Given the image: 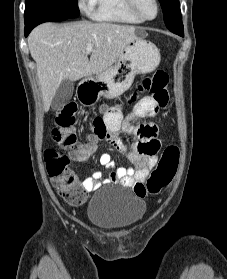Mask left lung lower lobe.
<instances>
[{
  "label": "left lung lower lobe",
  "instance_id": "obj_1",
  "mask_svg": "<svg viewBox=\"0 0 227 279\" xmlns=\"http://www.w3.org/2000/svg\"><path fill=\"white\" fill-rule=\"evenodd\" d=\"M173 33H175V34H178L179 36H184V32H173Z\"/></svg>",
  "mask_w": 227,
  "mask_h": 279
}]
</instances>
